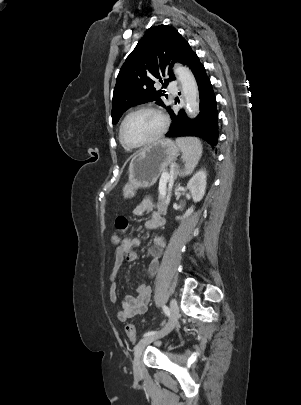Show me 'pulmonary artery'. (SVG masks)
<instances>
[{
	"label": "pulmonary artery",
	"mask_w": 301,
	"mask_h": 405,
	"mask_svg": "<svg viewBox=\"0 0 301 405\" xmlns=\"http://www.w3.org/2000/svg\"><path fill=\"white\" fill-rule=\"evenodd\" d=\"M168 88L172 93H176V91H177V88H176V85L174 82H170L168 85Z\"/></svg>",
	"instance_id": "e3ab8cb5"
}]
</instances>
